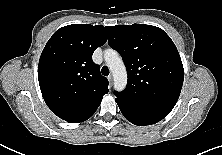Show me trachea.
I'll use <instances>...</instances> for the list:
<instances>
[{
  "label": "trachea",
  "instance_id": "trachea-1",
  "mask_svg": "<svg viewBox=\"0 0 222 155\" xmlns=\"http://www.w3.org/2000/svg\"><path fill=\"white\" fill-rule=\"evenodd\" d=\"M101 72L104 76H108L109 75L108 67H106V66L102 67Z\"/></svg>",
  "mask_w": 222,
  "mask_h": 155
}]
</instances>
